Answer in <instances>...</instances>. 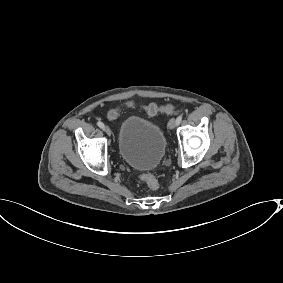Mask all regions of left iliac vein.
Segmentation results:
<instances>
[{"label": "left iliac vein", "instance_id": "left-iliac-vein-1", "mask_svg": "<svg viewBox=\"0 0 283 283\" xmlns=\"http://www.w3.org/2000/svg\"><path fill=\"white\" fill-rule=\"evenodd\" d=\"M176 120L174 118L170 119L169 122H168V127L170 129H174L176 127Z\"/></svg>", "mask_w": 283, "mask_h": 283}]
</instances>
